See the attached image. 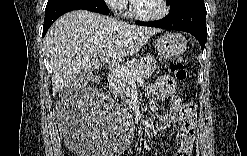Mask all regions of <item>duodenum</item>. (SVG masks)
I'll return each mask as SVG.
<instances>
[{"instance_id": "duodenum-1", "label": "duodenum", "mask_w": 247, "mask_h": 156, "mask_svg": "<svg viewBox=\"0 0 247 156\" xmlns=\"http://www.w3.org/2000/svg\"><path fill=\"white\" fill-rule=\"evenodd\" d=\"M109 77H111V78H112L113 76H112V75H109ZM134 112H136V111L134 110Z\"/></svg>"}]
</instances>
